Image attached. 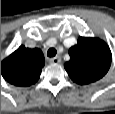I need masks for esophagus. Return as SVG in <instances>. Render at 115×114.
<instances>
[{
    "mask_svg": "<svg viewBox=\"0 0 115 114\" xmlns=\"http://www.w3.org/2000/svg\"><path fill=\"white\" fill-rule=\"evenodd\" d=\"M49 62H50L51 64H59V63L61 62V59H60L59 56H56V57H54V58H51V59L49 60Z\"/></svg>",
    "mask_w": 115,
    "mask_h": 114,
    "instance_id": "34e87169",
    "label": "esophagus"
}]
</instances>
